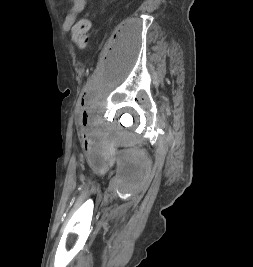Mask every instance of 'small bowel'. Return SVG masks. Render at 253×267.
Instances as JSON below:
<instances>
[{"label": "small bowel", "mask_w": 253, "mask_h": 267, "mask_svg": "<svg viewBox=\"0 0 253 267\" xmlns=\"http://www.w3.org/2000/svg\"><path fill=\"white\" fill-rule=\"evenodd\" d=\"M70 7L63 19L62 27L64 30H70L76 23L78 15L86 10L87 0H67Z\"/></svg>", "instance_id": "obj_1"}]
</instances>
